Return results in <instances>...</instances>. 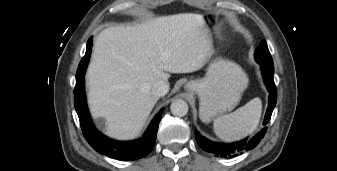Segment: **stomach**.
Segmentation results:
<instances>
[{"mask_svg": "<svg viewBox=\"0 0 337 171\" xmlns=\"http://www.w3.org/2000/svg\"><path fill=\"white\" fill-rule=\"evenodd\" d=\"M206 20L216 21L213 16ZM247 85L248 77L240 66L218 59L210 64L204 78L187 82L185 89L199 96V117L208 123L234 109Z\"/></svg>", "mask_w": 337, "mask_h": 171, "instance_id": "obj_1", "label": "stomach"}]
</instances>
